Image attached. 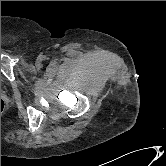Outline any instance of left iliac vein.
<instances>
[{
	"label": "left iliac vein",
	"instance_id": "left-iliac-vein-1",
	"mask_svg": "<svg viewBox=\"0 0 166 166\" xmlns=\"http://www.w3.org/2000/svg\"><path fill=\"white\" fill-rule=\"evenodd\" d=\"M37 65H38V66L40 65V62H39V61L37 62Z\"/></svg>",
	"mask_w": 166,
	"mask_h": 166
}]
</instances>
